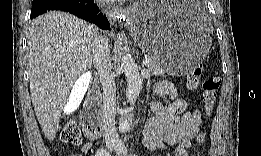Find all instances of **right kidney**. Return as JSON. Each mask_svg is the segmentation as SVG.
Instances as JSON below:
<instances>
[{"label":"right kidney","mask_w":261,"mask_h":156,"mask_svg":"<svg viewBox=\"0 0 261 156\" xmlns=\"http://www.w3.org/2000/svg\"><path fill=\"white\" fill-rule=\"evenodd\" d=\"M82 81L80 82V87H81V91L79 92V98H81L82 96H83V94H84V92H85V89H86V84H83V86H82ZM79 87V88H80Z\"/></svg>","instance_id":"right-kidney-1"}]
</instances>
